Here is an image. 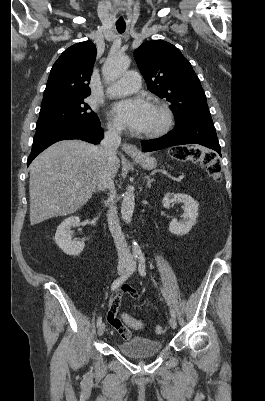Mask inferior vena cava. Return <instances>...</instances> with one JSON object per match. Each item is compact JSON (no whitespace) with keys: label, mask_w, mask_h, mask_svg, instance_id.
<instances>
[{"label":"inferior vena cava","mask_w":265,"mask_h":401,"mask_svg":"<svg viewBox=\"0 0 265 401\" xmlns=\"http://www.w3.org/2000/svg\"><path fill=\"white\" fill-rule=\"evenodd\" d=\"M120 132L121 128L119 126H110L109 124L108 130L105 132L103 140H101L100 146L103 148L105 168L99 178L97 188L98 190H105V188L109 190V196L106 201L110 207L108 211V227L115 241L118 257L119 259H131L132 255L127 247V243L124 241V235L119 225L117 209L114 207L116 190L113 182V164L116 158V148H118L121 142Z\"/></svg>","instance_id":"602c4592"}]
</instances>
